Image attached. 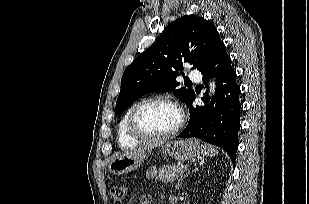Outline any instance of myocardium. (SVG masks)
<instances>
[{
  "instance_id": "myocardium-1",
  "label": "myocardium",
  "mask_w": 309,
  "mask_h": 204,
  "mask_svg": "<svg viewBox=\"0 0 309 204\" xmlns=\"http://www.w3.org/2000/svg\"><path fill=\"white\" fill-rule=\"evenodd\" d=\"M152 104H165L174 108L178 113V121L176 125L168 132L160 135H152L142 131L137 124V117L139 113L147 106ZM185 116L182 108L173 100L166 97H154L145 99L137 103L131 110L128 121L127 130L130 136L136 140L151 142V141H161L173 137L176 135L184 124Z\"/></svg>"
}]
</instances>
